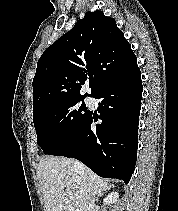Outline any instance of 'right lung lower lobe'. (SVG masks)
Listing matches in <instances>:
<instances>
[{
    "label": "right lung lower lobe",
    "instance_id": "obj_1",
    "mask_svg": "<svg viewBox=\"0 0 178 211\" xmlns=\"http://www.w3.org/2000/svg\"><path fill=\"white\" fill-rule=\"evenodd\" d=\"M141 72H133L102 88L93 97L101 123L92 126V112L84 125L49 155L73 157L104 178L129 182L136 164L142 98Z\"/></svg>",
    "mask_w": 178,
    "mask_h": 211
}]
</instances>
